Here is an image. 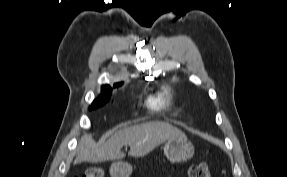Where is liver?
<instances>
[{
    "label": "liver",
    "mask_w": 287,
    "mask_h": 177,
    "mask_svg": "<svg viewBox=\"0 0 287 177\" xmlns=\"http://www.w3.org/2000/svg\"><path fill=\"white\" fill-rule=\"evenodd\" d=\"M186 138L185 134L167 122L150 121L116 131L106 142L95 144L91 135H85L78 144L75 163L81 161L102 162L119 160L125 157L121 152L124 145L130 146L129 155L142 157L153 151L163 142Z\"/></svg>",
    "instance_id": "obj_1"
}]
</instances>
